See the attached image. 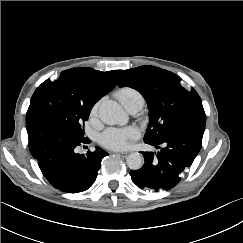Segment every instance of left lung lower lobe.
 <instances>
[{
	"instance_id": "left-lung-lower-lobe-1",
	"label": "left lung lower lobe",
	"mask_w": 243,
	"mask_h": 243,
	"mask_svg": "<svg viewBox=\"0 0 243 243\" xmlns=\"http://www.w3.org/2000/svg\"><path fill=\"white\" fill-rule=\"evenodd\" d=\"M205 124L206 116L190 117L173 126L161 140L145 142L162 148L158 153L142 152L143 167L130 171L133 183L156 192L176 186L201 149Z\"/></svg>"
}]
</instances>
